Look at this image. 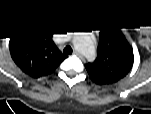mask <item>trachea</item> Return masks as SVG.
Masks as SVG:
<instances>
[{
    "label": "trachea",
    "instance_id": "trachea-1",
    "mask_svg": "<svg viewBox=\"0 0 151 114\" xmlns=\"http://www.w3.org/2000/svg\"><path fill=\"white\" fill-rule=\"evenodd\" d=\"M63 52L65 54H71L72 53V48L70 46H67L64 48Z\"/></svg>",
    "mask_w": 151,
    "mask_h": 114
}]
</instances>
